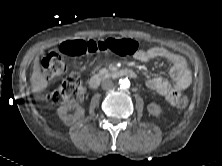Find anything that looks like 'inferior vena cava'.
<instances>
[{"mask_svg": "<svg viewBox=\"0 0 222 166\" xmlns=\"http://www.w3.org/2000/svg\"><path fill=\"white\" fill-rule=\"evenodd\" d=\"M114 87V83L110 79H105L102 81L103 90H111Z\"/></svg>", "mask_w": 222, "mask_h": 166, "instance_id": "602c4592", "label": "inferior vena cava"}]
</instances>
